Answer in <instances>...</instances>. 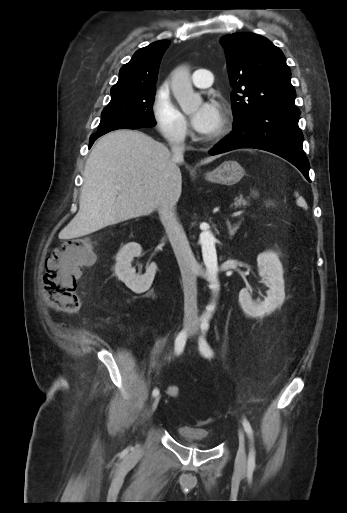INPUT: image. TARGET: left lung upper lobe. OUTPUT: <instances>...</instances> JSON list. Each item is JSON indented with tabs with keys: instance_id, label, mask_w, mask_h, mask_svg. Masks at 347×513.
Here are the masks:
<instances>
[{
	"instance_id": "left-lung-upper-lobe-1",
	"label": "left lung upper lobe",
	"mask_w": 347,
	"mask_h": 513,
	"mask_svg": "<svg viewBox=\"0 0 347 513\" xmlns=\"http://www.w3.org/2000/svg\"><path fill=\"white\" fill-rule=\"evenodd\" d=\"M225 49L234 122L268 107H296L291 71L282 51L265 37L233 33L221 38Z\"/></svg>"
}]
</instances>
